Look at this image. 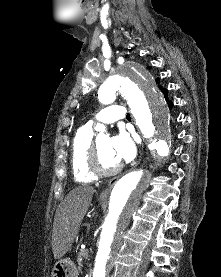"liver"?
Instances as JSON below:
<instances>
[{"label":"liver","mask_w":221,"mask_h":277,"mask_svg":"<svg viewBox=\"0 0 221 277\" xmlns=\"http://www.w3.org/2000/svg\"><path fill=\"white\" fill-rule=\"evenodd\" d=\"M94 193L93 187L80 186L71 190L59 204L52 230V250L55 259L62 258L71 248Z\"/></svg>","instance_id":"6515ba94"}]
</instances>
